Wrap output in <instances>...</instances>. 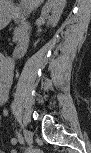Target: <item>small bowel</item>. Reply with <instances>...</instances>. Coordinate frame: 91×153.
<instances>
[{
  "label": "small bowel",
  "mask_w": 91,
  "mask_h": 153,
  "mask_svg": "<svg viewBox=\"0 0 91 153\" xmlns=\"http://www.w3.org/2000/svg\"><path fill=\"white\" fill-rule=\"evenodd\" d=\"M13 80V65L6 57L0 60V103L5 104L9 100L10 87ZM10 143L15 145L16 138H11Z\"/></svg>",
  "instance_id": "obj_1"
}]
</instances>
